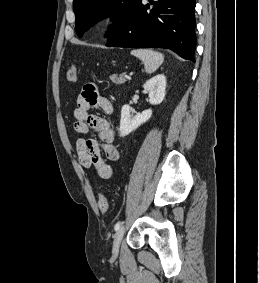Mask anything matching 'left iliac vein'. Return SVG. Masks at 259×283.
Returning <instances> with one entry per match:
<instances>
[{"label":"left iliac vein","instance_id":"4c4485c4","mask_svg":"<svg viewBox=\"0 0 259 283\" xmlns=\"http://www.w3.org/2000/svg\"><path fill=\"white\" fill-rule=\"evenodd\" d=\"M123 235H124V227L122 226L117 230L114 236V241H113V253L114 254H117L119 251V247H120V243L122 241Z\"/></svg>","mask_w":259,"mask_h":283}]
</instances>
